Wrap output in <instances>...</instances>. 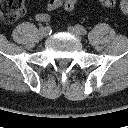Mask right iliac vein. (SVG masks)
Segmentation results:
<instances>
[{
	"instance_id": "1",
	"label": "right iliac vein",
	"mask_w": 128,
	"mask_h": 128,
	"mask_svg": "<svg viewBox=\"0 0 128 128\" xmlns=\"http://www.w3.org/2000/svg\"><path fill=\"white\" fill-rule=\"evenodd\" d=\"M49 29L47 27H43L40 29V34L43 36V37H47L49 35Z\"/></svg>"
}]
</instances>
